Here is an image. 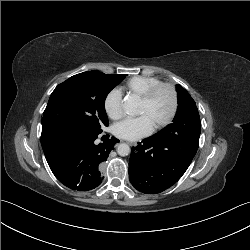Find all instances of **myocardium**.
Wrapping results in <instances>:
<instances>
[{
  "mask_svg": "<svg viewBox=\"0 0 250 250\" xmlns=\"http://www.w3.org/2000/svg\"><path fill=\"white\" fill-rule=\"evenodd\" d=\"M163 89L167 90L171 96V109H170L168 116L165 119H163L162 121H160L159 123L153 126L154 130L156 131L167 127L174 120L177 114L178 105H179L177 90L172 84L161 82L151 87L143 95L140 96L141 102L149 103L154 98V96Z\"/></svg>",
  "mask_w": 250,
  "mask_h": 250,
  "instance_id": "1",
  "label": "myocardium"
}]
</instances>
